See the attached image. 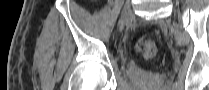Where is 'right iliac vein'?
Listing matches in <instances>:
<instances>
[{"mask_svg":"<svg viewBox=\"0 0 209 90\" xmlns=\"http://www.w3.org/2000/svg\"><path fill=\"white\" fill-rule=\"evenodd\" d=\"M130 14H131L130 6L129 4H127L122 13L121 19L119 21V25H122L125 22V20L130 16Z\"/></svg>","mask_w":209,"mask_h":90,"instance_id":"63e3f726","label":"right iliac vein"}]
</instances>
